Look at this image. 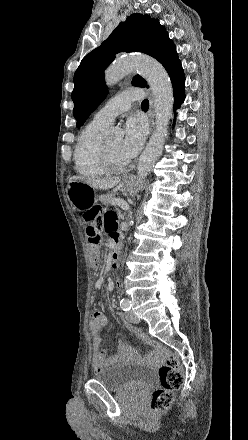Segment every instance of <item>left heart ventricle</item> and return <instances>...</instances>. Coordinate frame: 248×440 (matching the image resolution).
Masks as SVG:
<instances>
[{"instance_id": "b2bd125f", "label": "left heart ventricle", "mask_w": 248, "mask_h": 440, "mask_svg": "<svg viewBox=\"0 0 248 440\" xmlns=\"http://www.w3.org/2000/svg\"><path fill=\"white\" fill-rule=\"evenodd\" d=\"M107 146L114 158V160L119 163V164H125L127 163L126 160H124V158L121 156L120 154V143H121V139L120 138H111L108 139L106 141Z\"/></svg>"}]
</instances>
